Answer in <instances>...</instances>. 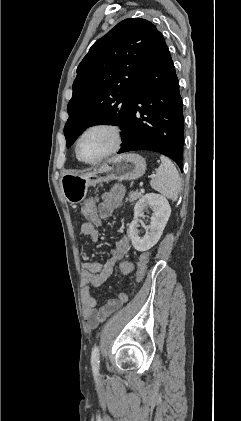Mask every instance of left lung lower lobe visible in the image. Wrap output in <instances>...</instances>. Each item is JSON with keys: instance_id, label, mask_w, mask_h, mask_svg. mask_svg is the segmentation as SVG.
Here are the masks:
<instances>
[{"instance_id": "obj_1", "label": "left lung lower lobe", "mask_w": 241, "mask_h": 421, "mask_svg": "<svg viewBox=\"0 0 241 421\" xmlns=\"http://www.w3.org/2000/svg\"><path fill=\"white\" fill-rule=\"evenodd\" d=\"M118 153L149 150L173 159L182 170L184 118L179 81L160 33L136 85L127 132Z\"/></svg>"}]
</instances>
